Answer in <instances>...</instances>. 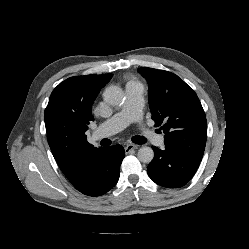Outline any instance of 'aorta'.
I'll return each instance as SVG.
<instances>
[{"instance_id":"aorta-1","label":"aorta","mask_w":249,"mask_h":249,"mask_svg":"<svg viewBox=\"0 0 249 249\" xmlns=\"http://www.w3.org/2000/svg\"><path fill=\"white\" fill-rule=\"evenodd\" d=\"M103 98L109 105L116 106L122 103L124 92L120 87L112 85L105 89ZM137 157L143 163H150L154 158V151L147 146L141 147L138 150Z\"/></svg>"}]
</instances>
